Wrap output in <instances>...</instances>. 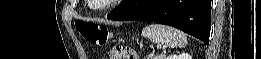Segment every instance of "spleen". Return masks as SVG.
Returning <instances> with one entry per match:
<instances>
[{
	"label": "spleen",
	"instance_id": "spleen-1",
	"mask_svg": "<svg viewBox=\"0 0 261 59\" xmlns=\"http://www.w3.org/2000/svg\"><path fill=\"white\" fill-rule=\"evenodd\" d=\"M142 36L149 38L153 43L164 44L170 48L184 47L187 44V37L183 32L160 24L146 26L142 30Z\"/></svg>",
	"mask_w": 261,
	"mask_h": 59
}]
</instances>
